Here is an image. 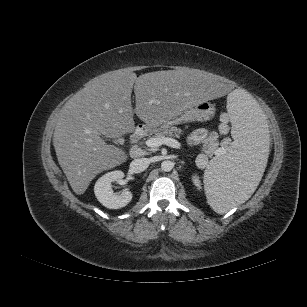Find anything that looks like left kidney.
Listing matches in <instances>:
<instances>
[{
    "label": "left kidney",
    "mask_w": 307,
    "mask_h": 307,
    "mask_svg": "<svg viewBox=\"0 0 307 307\" xmlns=\"http://www.w3.org/2000/svg\"><path fill=\"white\" fill-rule=\"evenodd\" d=\"M192 180H193V183L195 184V186L200 188L201 182L199 180V177L197 175H194Z\"/></svg>",
    "instance_id": "1"
}]
</instances>
